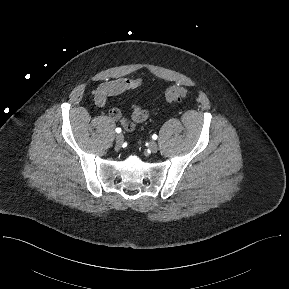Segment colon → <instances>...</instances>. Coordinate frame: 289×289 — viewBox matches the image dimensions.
Listing matches in <instances>:
<instances>
[{
  "mask_svg": "<svg viewBox=\"0 0 289 289\" xmlns=\"http://www.w3.org/2000/svg\"><path fill=\"white\" fill-rule=\"evenodd\" d=\"M187 93L188 91L185 87L172 86L166 91L165 98L168 102H174L184 98Z\"/></svg>",
  "mask_w": 289,
  "mask_h": 289,
  "instance_id": "5ec220e1",
  "label": "colon"
}]
</instances>
